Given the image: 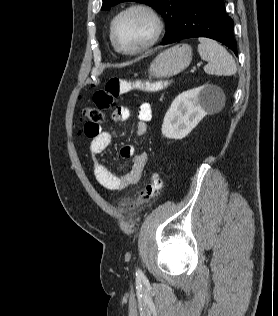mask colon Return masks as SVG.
<instances>
[{"label":"colon","mask_w":278,"mask_h":316,"mask_svg":"<svg viewBox=\"0 0 278 316\" xmlns=\"http://www.w3.org/2000/svg\"><path fill=\"white\" fill-rule=\"evenodd\" d=\"M162 87L160 82L129 81L126 79L111 77L104 87L97 90L93 95L95 107H85L81 111V120L84 121L83 132L86 136H94L98 133L100 124L105 118V110L115 106L117 98L138 89L146 92H154ZM162 189V179L158 173H152L146 183L145 189L138 197L139 204H145L155 199Z\"/></svg>","instance_id":"1"}]
</instances>
